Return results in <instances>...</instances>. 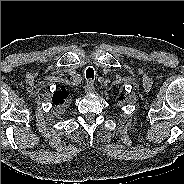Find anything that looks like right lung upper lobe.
<instances>
[{
    "instance_id": "right-lung-upper-lobe-1",
    "label": "right lung upper lobe",
    "mask_w": 184,
    "mask_h": 184,
    "mask_svg": "<svg viewBox=\"0 0 184 184\" xmlns=\"http://www.w3.org/2000/svg\"><path fill=\"white\" fill-rule=\"evenodd\" d=\"M67 91L66 89H61L59 91H56L53 95V98H52V103L54 105H61L64 103L65 99L67 98Z\"/></svg>"
}]
</instances>
